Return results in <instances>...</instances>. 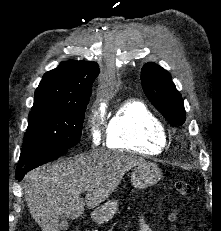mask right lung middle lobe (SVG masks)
Wrapping results in <instances>:
<instances>
[{
    "mask_svg": "<svg viewBox=\"0 0 221 231\" xmlns=\"http://www.w3.org/2000/svg\"><path fill=\"white\" fill-rule=\"evenodd\" d=\"M88 102L32 107L18 165L78 144Z\"/></svg>",
    "mask_w": 221,
    "mask_h": 231,
    "instance_id": "1",
    "label": "right lung middle lobe"
}]
</instances>
